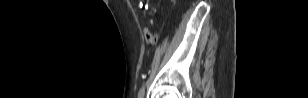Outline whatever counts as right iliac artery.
Segmentation results:
<instances>
[{"instance_id":"obj_1","label":"right iliac artery","mask_w":308,"mask_h":98,"mask_svg":"<svg viewBox=\"0 0 308 98\" xmlns=\"http://www.w3.org/2000/svg\"><path fill=\"white\" fill-rule=\"evenodd\" d=\"M144 92H145V89L144 87L140 89L139 93H138V97L139 98H143L144 97Z\"/></svg>"}]
</instances>
